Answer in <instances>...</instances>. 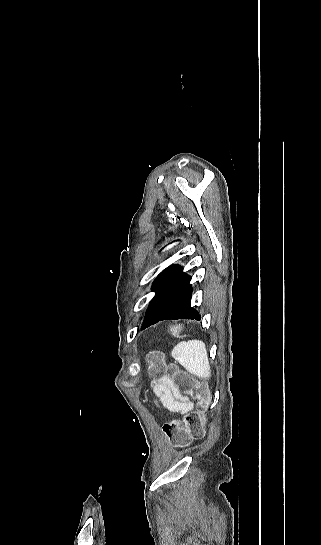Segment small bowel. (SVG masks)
Instances as JSON below:
<instances>
[{
  "mask_svg": "<svg viewBox=\"0 0 321 545\" xmlns=\"http://www.w3.org/2000/svg\"><path fill=\"white\" fill-rule=\"evenodd\" d=\"M153 392L161 405L170 413L185 414L194 408L190 399L181 396L173 390L172 382L167 376L154 382Z\"/></svg>",
  "mask_w": 321,
  "mask_h": 545,
  "instance_id": "small-bowel-1",
  "label": "small bowel"
}]
</instances>
